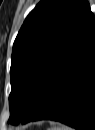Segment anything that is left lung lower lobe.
I'll return each mask as SVG.
<instances>
[{
    "mask_svg": "<svg viewBox=\"0 0 95 130\" xmlns=\"http://www.w3.org/2000/svg\"><path fill=\"white\" fill-rule=\"evenodd\" d=\"M41 119L79 130L95 127V22L90 19L67 54L52 68L27 113L12 124Z\"/></svg>",
    "mask_w": 95,
    "mask_h": 130,
    "instance_id": "0a47b994",
    "label": "left lung lower lobe"
}]
</instances>
